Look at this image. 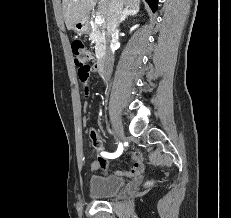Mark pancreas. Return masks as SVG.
<instances>
[{
  "instance_id": "obj_1",
  "label": "pancreas",
  "mask_w": 231,
  "mask_h": 218,
  "mask_svg": "<svg viewBox=\"0 0 231 218\" xmlns=\"http://www.w3.org/2000/svg\"><path fill=\"white\" fill-rule=\"evenodd\" d=\"M89 35L93 42L96 44V49L98 52L102 51L105 43V36L102 28L94 24Z\"/></svg>"
}]
</instances>
